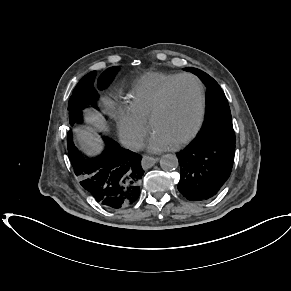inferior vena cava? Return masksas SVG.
<instances>
[{
	"mask_svg": "<svg viewBox=\"0 0 291 291\" xmlns=\"http://www.w3.org/2000/svg\"><path fill=\"white\" fill-rule=\"evenodd\" d=\"M122 144L125 148L132 151H140L144 148L145 144L141 137H128L122 140Z\"/></svg>",
	"mask_w": 291,
	"mask_h": 291,
	"instance_id": "inferior-vena-cava-1",
	"label": "inferior vena cava"
}]
</instances>
